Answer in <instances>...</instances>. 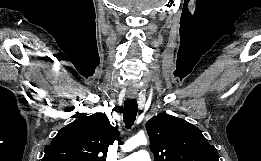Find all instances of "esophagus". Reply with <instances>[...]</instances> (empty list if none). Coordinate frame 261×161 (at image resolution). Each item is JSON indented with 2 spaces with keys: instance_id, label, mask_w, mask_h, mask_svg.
<instances>
[{
  "instance_id": "obj_1",
  "label": "esophagus",
  "mask_w": 261,
  "mask_h": 161,
  "mask_svg": "<svg viewBox=\"0 0 261 161\" xmlns=\"http://www.w3.org/2000/svg\"><path fill=\"white\" fill-rule=\"evenodd\" d=\"M127 97H128L129 99H134V98L137 97V95H136V94H133V93H128V94H127Z\"/></svg>"
}]
</instances>
